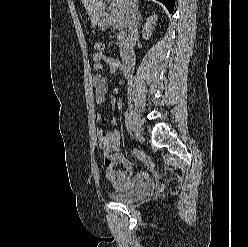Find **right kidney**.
Segmentation results:
<instances>
[{
	"label": "right kidney",
	"mask_w": 248,
	"mask_h": 247,
	"mask_svg": "<svg viewBox=\"0 0 248 247\" xmlns=\"http://www.w3.org/2000/svg\"><path fill=\"white\" fill-rule=\"evenodd\" d=\"M156 21H157L156 14L147 18L146 23L144 24V27H143V37L145 39L148 40L151 37Z\"/></svg>",
	"instance_id": "right-kidney-1"
}]
</instances>
